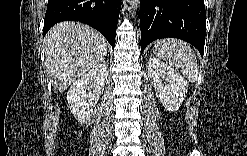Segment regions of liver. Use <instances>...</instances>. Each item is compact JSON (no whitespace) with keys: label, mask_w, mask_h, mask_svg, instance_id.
Masks as SVG:
<instances>
[{"label":"liver","mask_w":247,"mask_h":156,"mask_svg":"<svg viewBox=\"0 0 247 156\" xmlns=\"http://www.w3.org/2000/svg\"><path fill=\"white\" fill-rule=\"evenodd\" d=\"M43 45L47 74L59 92L102 62L108 43L96 30L76 22H61L46 34Z\"/></svg>","instance_id":"obj_1"}]
</instances>
